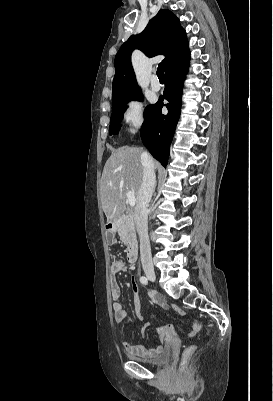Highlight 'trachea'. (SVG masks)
<instances>
[{
	"label": "trachea",
	"mask_w": 273,
	"mask_h": 401,
	"mask_svg": "<svg viewBox=\"0 0 273 401\" xmlns=\"http://www.w3.org/2000/svg\"><path fill=\"white\" fill-rule=\"evenodd\" d=\"M157 76L160 81H165L164 68L161 63L158 65V68H157Z\"/></svg>",
	"instance_id": "obj_1"
}]
</instances>
